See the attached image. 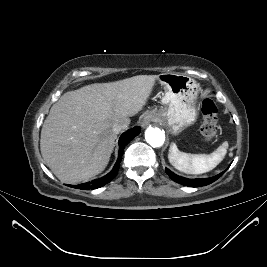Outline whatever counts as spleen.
Here are the masks:
<instances>
[{
  "label": "spleen",
  "mask_w": 267,
  "mask_h": 267,
  "mask_svg": "<svg viewBox=\"0 0 267 267\" xmlns=\"http://www.w3.org/2000/svg\"><path fill=\"white\" fill-rule=\"evenodd\" d=\"M228 142L225 141L211 154H188L180 151L175 143L170 145L169 162L187 174H202L213 170L225 157Z\"/></svg>",
  "instance_id": "1"
}]
</instances>
